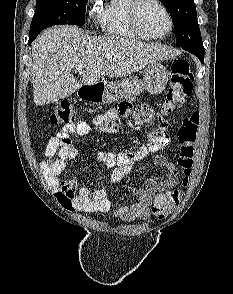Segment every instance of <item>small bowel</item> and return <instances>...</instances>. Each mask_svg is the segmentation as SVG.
I'll use <instances>...</instances> for the list:
<instances>
[{
  "instance_id": "1",
  "label": "small bowel",
  "mask_w": 233,
  "mask_h": 294,
  "mask_svg": "<svg viewBox=\"0 0 233 294\" xmlns=\"http://www.w3.org/2000/svg\"><path fill=\"white\" fill-rule=\"evenodd\" d=\"M150 103L119 104L118 110H110L96 116L92 124L83 120L74 124L63 126L56 136L52 137L45 149V160L41 167L49 177L58 181V177L67 164L79 155V151L73 146L71 134L86 136L93 130L100 133L113 134L118 130L116 122H126L127 118H134L142 126H149V122H156L153 108ZM167 122L158 117V128L151 132L148 142L136 151L98 152L96 159L112 170L111 184L119 183L132 169L135 163L143 160L151 153H156L166 148L170 142L167 130ZM154 164L167 170L163 180L147 178L143 188H133L132 191L137 201L131 205L119 206L115 210V216L125 221L134 219H147L151 215V206L156 195L166 189H173L179 181V168L169 161L164 155L154 157ZM58 193L61 204L68 210L84 213H105L114 207V201L108 196V188L90 190L81 187L77 193L67 194L63 190Z\"/></svg>"
}]
</instances>
